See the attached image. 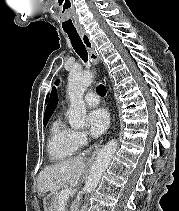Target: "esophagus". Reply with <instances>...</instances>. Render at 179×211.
I'll list each match as a JSON object with an SVG mask.
<instances>
[{
	"label": "esophagus",
	"mask_w": 179,
	"mask_h": 211,
	"mask_svg": "<svg viewBox=\"0 0 179 211\" xmlns=\"http://www.w3.org/2000/svg\"><path fill=\"white\" fill-rule=\"evenodd\" d=\"M79 35L88 49L92 64L94 66L97 65L99 63L100 57L88 34L84 30H79ZM100 147L101 143L95 145V147H89V151H83L82 159H86V163H93V156H96V152H100Z\"/></svg>",
	"instance_id": "obj_1"
}]
</instances>
